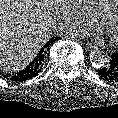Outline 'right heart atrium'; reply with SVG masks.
Returning a JSON list of instances; mask_svg holds the SVG:
<instances>
[{
	"label": "right heart atrium",
	"mask_w": 118,
	"mask_h": 118,
	"mask_svg": "<svg viewBox=\"0 0 118 118\" xmlns=\"http://www.w3.org/2000/svg\"><path fill=\"white\" fill-rule=\"evenodd\" d=\"M64 19L73 30L94 24V18L86 11L80 0H70Z\"/></svg>",
	"instance_id": "right-heart-atrium-1"
}]
</instances>
